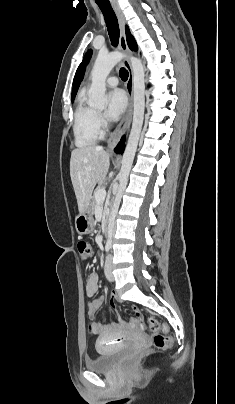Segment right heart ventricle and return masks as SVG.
<instances>
[{
  "mask_svg": "<svg viewBox=\"0 0 235 404\" xmlns=\"http://www.w3.org/2000/svg\"><path fill=\"white\" fill-rule=\"evenodd\" d=\"M73 135L78 147L93 145L102 135L97 122V112L88 105L84 97L78 99L74 111Z\"/></svg>",
  "mask_w": 235,
  "mask_h": 404,
  "instance_id": "1",
  "label": "right heart ventricle"
}]
</instances>
